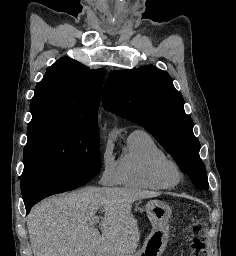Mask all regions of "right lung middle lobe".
Listing matches in <instances>:
<instances>
[{
    "label": "right lung middle lobe",
    "instance_id": "obj_1",
    "mask_svg": "<svg viewBox=\"0 0 236 256\" xmlns=\"http://www.w3.org/2000/svg\"><path fill=\"white\" fill-rule=\"evenodd\" d=\"M27 137L22 196L42 185L81 176L91 178L101 169L97 127L38 122L28 125Z\"/></svg>",
    "mask_w": 236,
    "mask_h": 256
}]
</instances>
